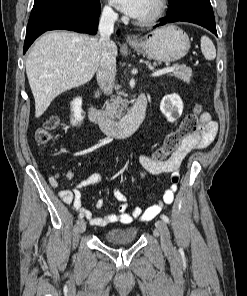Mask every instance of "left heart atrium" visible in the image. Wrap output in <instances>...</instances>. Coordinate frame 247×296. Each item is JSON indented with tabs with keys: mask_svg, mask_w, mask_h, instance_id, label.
I'll return each instance as SVG.
<instances>
[{
	"mask_svg": "<svg viewBox=\"0 0 247 296\" xmlns=\"http://www.w3.org/2000/svg\"><path fill=\"white\" fill-rule=\"evenodd\" d=\"M117 8L132 18H139L147 9L149 0H112Z\"/></svg>",
	"mask_w": 247,
	"mask_h": 296,
	"instance_id": "left-heart-atrium-1",
	"label": "left heart atrium"
}]
</instances>
